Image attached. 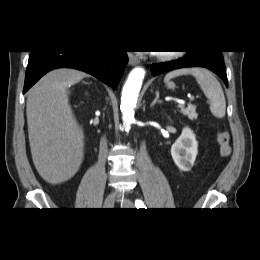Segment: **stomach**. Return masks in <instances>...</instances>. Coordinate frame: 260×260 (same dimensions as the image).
<instances>
[{"instance_id":"stomach-1","label":"stomach","mask_w":260,"mask_h":260,"mask_svg":"<svg viewBox=\"0 0 260 260\" xmlns=\"http://www.w3.org/2000/svg\"><path fill=\"white\" fill-rule=\"evenodd\" d=\"M166 86L169 88V89H173L175 87V84L173 82H166Z\"/></svg>"}]
</instances>
